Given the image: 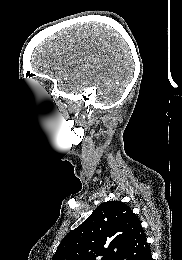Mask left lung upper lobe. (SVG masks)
<instances>
[{
  "mask_svg": "<svg viewBox=\"0 0 182 260\" xmlns=\"http://www.w3.org/2000/svg\"><path fill=\"white\" fill-rule=\"evenodd\" d=\"M140 226L125 203L104 202L64 237L52 260H120Z\"/></svg>",
  "mask_w": 182,
  "mask_h": 260,
  "instance_id": "obj_1",
  "label": "left lung upper lobe"
}]
</instances>
